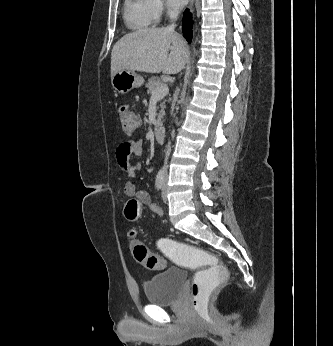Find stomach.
Segmentation results:
<instances>
[{"label":"stomach","mask_w":333,"mask_h":346,"mask_svg":"<svg viewBox=\"0 0 333 346\" xmlns=\"http://www.w3.org/2000/svg\"><path fill=\"white\" fill-rule=\"evenodd\" d=\"M111 83L116 92L126 94L144 84V78L134 71L121 70L114 74Z\"/></svg>","instance_id":"0dacf381"}]
</instances>
